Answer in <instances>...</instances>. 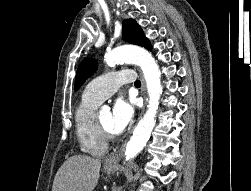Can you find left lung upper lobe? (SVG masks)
Segmentation results:
<instances>
[{
	"label": "left lung upper lobe",
	"mask_w": 251,
	"mask_h": 191,
	"mask_svg": "<svg viewBox=\"0 0 251 191\" xmlns=\"http://www.w3.org/2000/svg\"><path fill=\"white\" fill-rule=\"evenodd\" d=\"M123 38L125 41L143 46L151 50L152 46L149 40L145 37L141 27L133 19H126L123 21ZM97 62L93 59H84L78 67L75 78V90H77L83 82L90 77L96 70Z\"/></svg>",
	"instance_id": "left-lung-upper-lobe-1"
}]
</instances>
